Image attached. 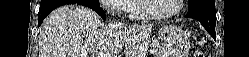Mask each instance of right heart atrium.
Listing matches in <instances>:
<instances>
[{
    "label": "right heart atrium",
    "instance_id": "obj_1",
    "mask_svg": "<svg viewBox=\"0 0 249 57\" xmlns=\"http://www.w3.org/2000/svg\"><path fill=\"white\" fill-rule=\"evenodd\" d=\"M127 2L128 0H105L102 3L113 14L121 15L127 11Z\"/></svg>",
    "mask_w": 249,
    "mask_h": 57
}]
</instances>
